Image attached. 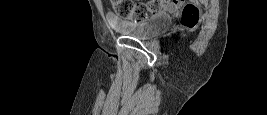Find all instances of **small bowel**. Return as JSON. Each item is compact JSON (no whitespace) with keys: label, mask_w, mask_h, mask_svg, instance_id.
Returning <instances> with one entry per match:
<instances>
[{"label":"small bowel","mask_w":267,"mask_h":115,"mask_svg":"<svg viewBox=\"0 0 267 115\" xmlns=\"http://www.w3.org/2000/svg\"><path fill=\"white\" fill-rule=\"evenodd\" d=\"M183 6V1L181 0H173L165 3L163 5V9L168 13H177Z\"/></svg>","instance_id":"1"}]
</instances>
